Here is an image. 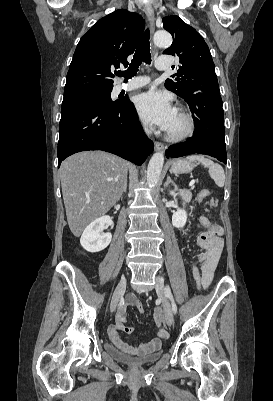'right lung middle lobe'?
Segmentation results:
<instances>
[{
  "instance_id": "1",
  "label": "right lung middle lobe",
  "mask_w": 273,
  "mask_h": 401,
  "mask_svg": "<svg viewBox=\"0 0 273 401\" xmlns=\"http://www.w3.org/2000/svg\"><path fill=\"white\" fill-rule=\"evenodd\" d=\"M110 90L86 92L76 95L64 96L61 111H66L78 106L94 105V106H114L119 101H112Z\"/></svg>"
}]
</instances>
